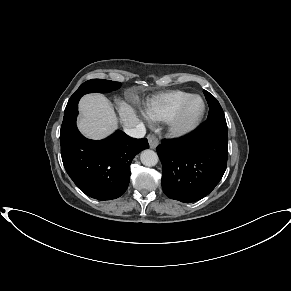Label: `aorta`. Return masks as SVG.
Here are the masks:
<instances>
[{"mask_svg": "<svg viewBox=\"0 0 291 291\" xmlns=\"http://www.w3.org/2000/svg\"><path fill=\"white\" fill-rule=\"evenodd\" d=\"M140 160L145 166H155L158 163V155L153 150L147 149L141 152Z\"/></svg>", "mask_w": 291, "mask_h": 291, "instance_id": "1", "label": "aorta"}]
</instances>
